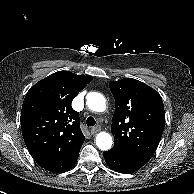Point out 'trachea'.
<instances>
[{
	"mask_svg": "<svg viewBox=\"0 0 194 194\" xmlns=\"http://www.w3.org/2000/svg\"><path fill=\"white\" fill-rule=\"evenodd\" d=\"M86 124L88 127H91V126H94L96 124V121L92 116H89L86 120Z\"/></svg>",
	"mask_w": 194,
	"mask_h": 194,
	"instance_id": "3493384b",
	"label": "trachea"
}]
</instances>
